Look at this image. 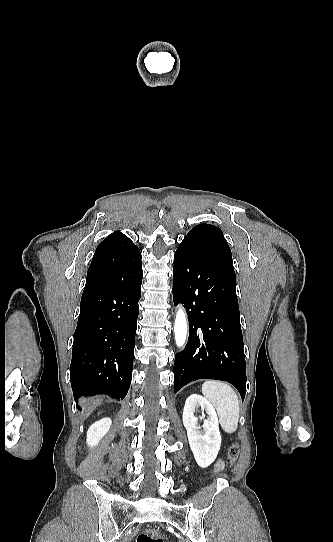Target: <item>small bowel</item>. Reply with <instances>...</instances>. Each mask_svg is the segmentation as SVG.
I'll use <instances>...</instances> for the list:
<instances>
[{
    "instance_id": "1",
    "label": "small bowel",
    "mask_w": 333,
    "mask_h": 542,
    "mask_svg": "<svg viewBox=\"0 0 333 542\" xmlns=\"http://www.w3.org/2000/svg\"><path fill=\"white\" fill-rule=\"evenodd\" d=\"M224 469V462L222 460H217L214 465V474L220 473Z\"/></svg>"
}]
</instances>
